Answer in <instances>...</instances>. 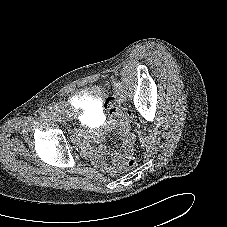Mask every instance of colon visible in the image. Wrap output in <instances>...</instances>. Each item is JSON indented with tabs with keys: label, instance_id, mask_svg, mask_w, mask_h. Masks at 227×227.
<instances>
[{
	"label": "colon",
	"instance_id": "colon-1",
	"mask_svg": "<svg viewBox=\"0 0 227 227\" xmlns=\"http://www.w3.org/2000/svg\"><path fill=\"white\" fill-rule=\"evenodd\" d=\"M105 109L110 114H118V115L125 114V111L120 108L119 102L115 98H109L106 100ZM122 140L127 146L129 152L123 158L121 162V167L123 170H130L134 168V166L136 165V159L134 157V151L136 150V143H135L134 136L131 134L127 123L123 124Z\"/></svg>",
	"mask_w": 227,
	"mask_h": 227
}]
</instances>
